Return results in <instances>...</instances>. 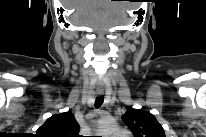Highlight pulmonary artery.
<instances>
[{"instance_id": "pulmonary-artery-1", "label": "pulmonary artery", "mask_w": 206, "mask_h": 137, "mask_svg": "<svg viewBox=\"0 0 206 137\" xmlns=\"http://www.w3.org/2000/svg\"><path fill=\"white\" fill-rule=\"evenodd\" d=\"M111 137H128V134L124 130H118Z\"/></svg>"}]
</instances>
